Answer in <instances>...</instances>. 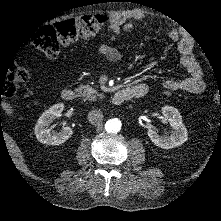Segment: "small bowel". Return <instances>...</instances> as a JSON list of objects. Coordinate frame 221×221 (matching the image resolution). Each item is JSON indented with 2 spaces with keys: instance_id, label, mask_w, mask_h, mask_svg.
<instances>
[{
  "instance_id": "obj_1",
  "label": "small bowel",
  "mask_w": 221,
  "mask_h": 221,
  "mask_svg": "<svg viewBox=\"0 0 221 221\" xmlns=\"http://www.w3.org/2000/svg\"><path fill=\"white\" fill-rule=\"evenodd\" d=\"M144 18L145 14L140 11L112 13L109 17V26L107 29L109 42H113L120 37L122 33L130 32L134 28V25L128 22L129 20H142ZM169 37L173 41L178 40L176 31H171ZM97 51L99 55L104 56L112 62H118L121 59V53L109 44L100 45ZM178 52L180 55V62L188 71L189 77L184 79H167L163 82V86L170 91H186L193 94L202 93L205 89L203 72L192 54V41L189 38H183L178 44ZM131 89L134 90L135 88ZM134 97L138 96L134 95Z\"/></svg>"
}]
</instances>
